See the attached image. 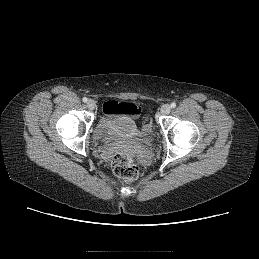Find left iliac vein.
<instances>
[{
  "instance_id": "left-iliac-vein-1",
  "label": "left iliac vein",
  "mask_w": 259,
  "mask_h": 259,
  "mask_svg": "<svg viewBox=\"0 0 259 259\" xmlns=\"http://www.w3.org/2000/svg\"><path fill=\"white\" fill-rule=\"evenodd\" d=\"M171 111V106L169 104H164L162 107H161V113L163 115H167L169 114Z\"/></svg>"
}]
</instances>
